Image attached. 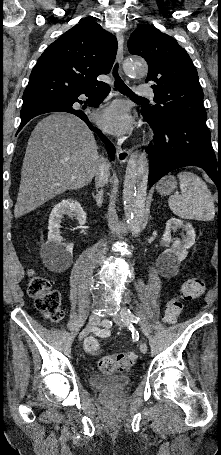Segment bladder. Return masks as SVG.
<instances>
[{
    "label": "bladder",
    "instance_id": "obj_1",
    "mask_svg": "<svg viewBox=\"0 0 221 455\" xmlns=\"http://www.w3.org/2000/svg\"><path fill=\"white\" fill-rule=\"evenodd\" d=\"M91 387L102 390H121L129 385L128 375L93 374L89 377Z\"/></svg>",
    "mask_w": 221,
    "mask_h": 455
}]
</instances>
